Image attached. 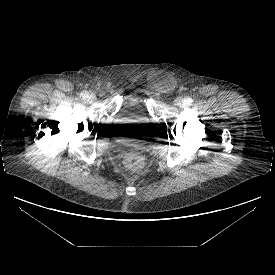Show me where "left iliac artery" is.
I'll use <instances>...</instances> for the list:
<instances>
[{
    "label": "left iliac artery",
    "mask_w": 275,
    "mask_h": 275,
    "mask_svg": "<svg viewBox=\"0 0 275 275\" xmlns=\"http://www.w3.org/2000/svg\"><path fill=\"white\" fill-rule=\"evenodd\" d=\"M187 102H190V99H187Z\"/></svg>",
    "instance_id": "obj_1"
}]
</instances>
